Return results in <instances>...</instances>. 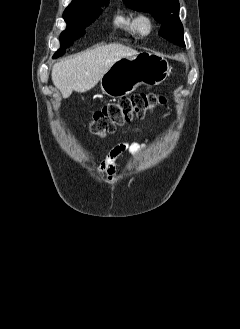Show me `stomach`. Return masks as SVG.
Masks as SVG:
<instances>
[{
    "label": "stomach",
    "mask_w": 240,
    "mask_h": 329,
    "mask_svg": "<svg viewBox=\"0 0 240 329\" xmlns=\"http://www.w3.org/2000/svg\"><path fill=\"white\" fill-rule=\"evenodd\" d=\"M171 71L168 61L159 53L140 52L116 61L101 77L102 92L112 98L129 95L141 84L162 83Z\"/></svg>",
    "instance_id": "1"
}]
</instances>
